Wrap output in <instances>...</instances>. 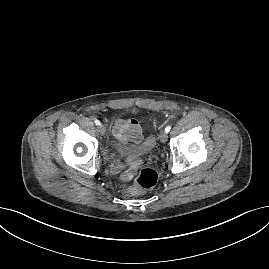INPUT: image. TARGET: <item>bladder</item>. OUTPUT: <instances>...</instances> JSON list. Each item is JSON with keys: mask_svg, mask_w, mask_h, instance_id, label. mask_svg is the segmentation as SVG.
Returning <instances> with one entry per match:
<instances>
[{"mask_svg": "<svg viewBox=\"0 0 269 269\" xmlns=\"http://www.w3.org/2000/svg\"><path fill=\"white\" fill-rule=\"evenodd\" d=\"M114 148L120 153H134V154H141L147 155L150 154L155 146H156V136L154 133H148L141 141L127 146L123 143L114 142Z\"/></svg>", "mask_w": 269, "mask_h": 269, "instance_id": "obj_1", "label": "bladder"}]
</instances>
